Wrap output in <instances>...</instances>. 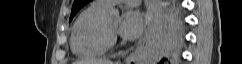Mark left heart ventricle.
Segmentation results:
<instances>
[{
	"label": "left heart ventricle",
	"mask_w": 242,
	"mask_h": 64,
	"mask_svg": "<svg viewBox=\"0 0 242 64\" xmlns=\"http://www.w3.org/2000/svg\"><path fill=\"white\" fill-rule=\"evenodd\" d=\"M105 23H106L107 28L111 31H114L116 26H117L116 22H113V21H110V20H105Z\"/></svg>",
	"instance_id": "obj_1"
}]
</instances>
